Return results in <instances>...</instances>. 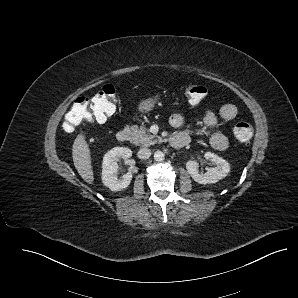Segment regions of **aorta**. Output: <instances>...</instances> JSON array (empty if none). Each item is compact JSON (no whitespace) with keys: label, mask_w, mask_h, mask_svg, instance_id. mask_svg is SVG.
<instances>
[{"label":"aorta","mask_w":298,"mask_h":298,"mask_svg":"<svg viewBox=\"0 0 298 298\" xmlns=\"http://www.w3.org/2000/svg\"><path fill=\"white\" fill-rule=\"evenodd\" d=\"M164 159V153L161 150H157L154 152V160L162 161Z\"/></svg>","instance_id":"aorta-1"}]
</instances>
